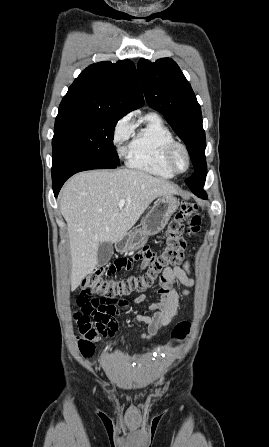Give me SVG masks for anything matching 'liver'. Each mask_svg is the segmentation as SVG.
Returning a JSON list of instances; mask_svg holds the SVG:
<instances>
[{
    "mask_svg": "<svg viewBox=\"0 0 269 447\" xmlns=\"http://www.w3.org/2000/svg\"><path fill=\"white\" fill-rule=\"evenodd\" d=\"M172 194H178L175 184L137 170H94L70 178L60 210L70 237L71 291L95 269L100 243L124 239L155 198ZM120 200H125L122 210Z\"/></svg>",
    "mask_w": 269,
    "mask_h": 447,
    "instance_id": "1",
    "label": "liver"
}]
</instances>
